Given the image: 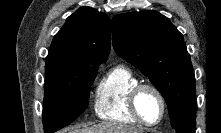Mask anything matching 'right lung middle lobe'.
<instances>
[{"label":"right lung middle lobe","mask_w":221,"mask_h":133,"mask_svg":"<svg viewBox=\"0 0 221 133\" xmlns=\"http://www.w3.org/2000/svg\"><path fill=\"white\" fill-rule=\"evenodd\" d=\"M100 64L76 65L45 73L42 114L45 133L69 125L88 107L90 86Z\"/></svg>","instance_id":"obj_1"}]
</instances>
